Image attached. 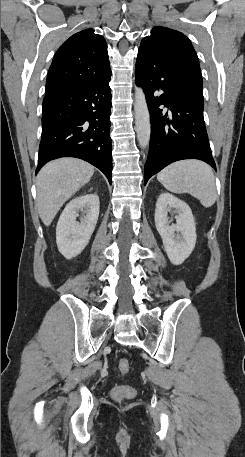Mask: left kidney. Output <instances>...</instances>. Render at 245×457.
<instances>
[{
	"label": "left kidney",
	"mask_w": 245,
	"mask_h": 457,
	"mask_svg": "<svg viewBox=\"0 0 245 457\" xmlns=\"http://www.w3.org/2000/svg\"><path fill=\"white\" fill-rule=\"evenodd\" d=\"M171 210L177 212L176 224H170L167 212ZM154 220L169 261L172 265H182L191 255L197 239L195 220L189 204L170 192H161L157 198Z\"/></svg>",
	"instance_id": "1"
}]
</instances>
